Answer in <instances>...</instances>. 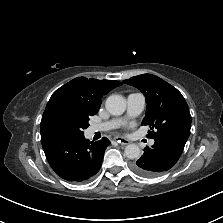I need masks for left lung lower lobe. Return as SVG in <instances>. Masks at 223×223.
Segmentation results:
<instances>
[{
    "label": "left lung lower lobe",
    "mask_w": 223,
    "mask_h": 223,
    "mask_svg": "<svg viewBox=\"0 0 223 223\" xmlns=\"http://www.w3.org/2000/svg\"><path fill=\"white\" fill-rule=\"evenodd\" d=\"M155 143L144 149V154L132 164L133 171L143 177L158 176L172 168L181 156L184 141L164 136L155 138Z\"/></svg>",
    "instance_id": "0a47b994"
}]
</instances>
